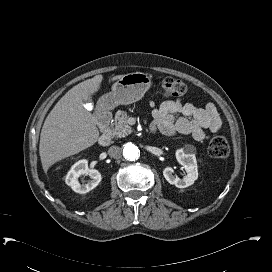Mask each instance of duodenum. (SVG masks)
Returning <instances> with one entry per match:
<instances>
[{
	"label": "duodenum",
	"instance_id": "410a0bca",
	"mask_svg": "<svg viewBox=\"0 0 272 272\" xmlns=\"http://www.w3.org/2000/svg\"><path fill=\"white\" fill-rule=\"evenodd\" d=\"M111 113L107 107L101 108L96 113V120L100 126L102 131L99 138L100 146H108L112 142V135L110 132V121H111ZM157 130V126L152 124L150 127V132L153 134Z\"/></svg>",
	"mask_w": 272,
	"mask_h": 272
}]
</instances>
